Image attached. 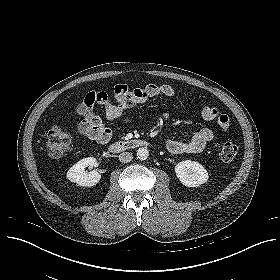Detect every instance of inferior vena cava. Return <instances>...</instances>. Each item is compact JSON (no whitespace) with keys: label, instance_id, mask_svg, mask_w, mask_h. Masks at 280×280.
I'll return each instance as SVG.
<instances>
[{"label":"inferior vena cava","instance_id":"602c4592","mask_svg":"<svg viewBox=\"0 0 280 280\" xmlns=\"http://www.w3.org/2000/svg\"><path fill=\"white\" fill-rule=\"evenodd\" d=\"M133 159V155L130 152H122L119 155V161L122 163H128Z\"/></svg>","mask_w":280,"mask_h":280}]
</instances>
